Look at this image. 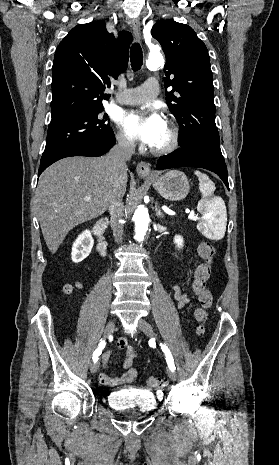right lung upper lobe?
Returning a JSON list of instances; mask_svg holds the SVG:
<instances>
[{
	"instance_id": "1",
	"label": "right lung upper lobe",
	"mask_w": 279,
	"mask_h": 465,
	"mask_svg": "<svg viewBox=\"0 0 279 465\" xmlns=\"http://www.w3.org/2000/svg\"><path fill=\"white\" fill-rule=\"evenodd\" d=\"M132 36L120 32L118 39L104 21L74 27L58 45L52 67L51 124L101 107L110 87L127 67Z\"/></svg>"
}]
</instances>
